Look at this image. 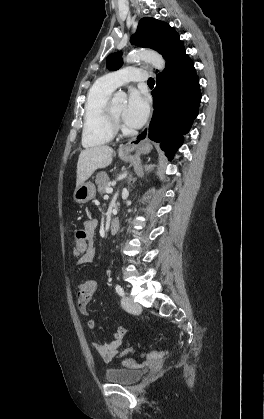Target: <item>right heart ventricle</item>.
<instances>
[{
    "label": "right heart ventricle",
    "mask_w": 264,
    "mask_h": 419,
    "mask_svg": "<svg viewBox=\"0 0 264 419\" xmlns=\"http://www.w3.org/2000/svg\"><path fill=\"white\" fill-rule=\"evenodd\" d=\"M112 92L100 80L88 91L82 131V144L86 148L107 144L114 137L115 130L107 111Z\"/></svg>",
    "instance_id": "right-heart-ventricle-1"
}]
</instances>
